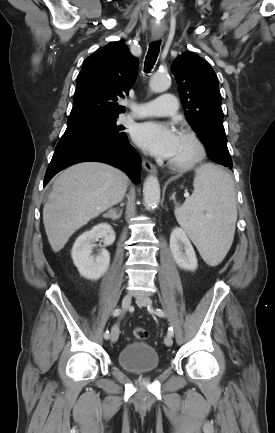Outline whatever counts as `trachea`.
Instances as JSON below:
<instances>
[{"label":"trachea","mask_w":275,"mask_h":433,"mask_svg":"<svg viewBox=\"0 0 275 433\" xmlns=\"http://www.w3.org/2000/svg\"><path fill=\"white\" fill-rule=\"evenodd\" d=\"M159 50H160V42L150 43L149 50H148V53H147V56L145 59L146 72H149L153 68V66L157 60Z\"/></svg>","instance_id":"1"}]
</instances>
